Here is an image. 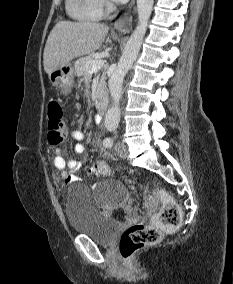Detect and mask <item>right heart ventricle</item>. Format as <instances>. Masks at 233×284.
<instances>
[{"mask_svg": "<svg viewBox=\"0 0 233 284\" xmlns=\"http://www.w3.org/2000/svg\"><path fill=\"white\" fill-rule=\"evenodd\" d=\"M69 16L77 21L94 22L103 15L102 0H66Z\"/></svg>", "mask_w": 233, "mask_h": 284, "instance_id": "1", "label": "right heart ventricle"}]
</instances>
